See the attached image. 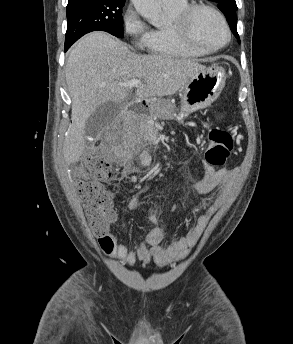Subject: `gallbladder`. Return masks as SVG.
<instances>
[{
	"instance_id": "obj_1",
	"label": "gallbladder",
	"mask_w": 293,
	"mask_h": 344,
	"mask_svg": "<svg viewBox=\"0 0 293 344\" xmlns=\"http://www.w3.org/2000/svg\"><path fill=\"white\" fill-rule=\"evenodd\" d=\"M120 109V105L113 101H108L100 105L88 118L85 126V134L93 138L97 137L103 129L114 122Z\"/></svg>"
}]
</instances>
